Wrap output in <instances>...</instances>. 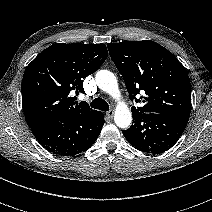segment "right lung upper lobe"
Listing matches in <instances>:
<instances>
[{"mask_svg": "<svg viewBox=\"0 0 212 212\" xmlns=\"http://www.w3.org/2000/svg\"><path fill=\"white\" fill-rule=\"evenodd\" d=\"M104 44L56 43L43 50L26 68L22 106L30 128L51 120L64 121L98 113L73 92H84L83 79L105 61Z\"/></svg>", "mask_w": 212, "mask_h": 212, "instance_id": "1", "label": "right lung upper lobe"}]
</instances>
